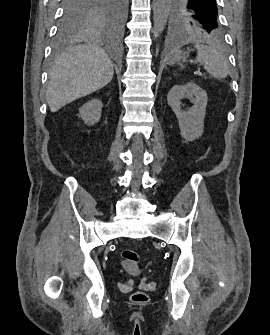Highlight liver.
<instances>
[{
  "mask_svg": "<svg viewBox=\"0 0 270 335\" xmlns=\"http://www.w3.org/2000/svg\"><path fill=\"white\" fill-rule=\"evenodd\" d=\"M113 74V64L101 46L79 44L69 48L57 56L50 72L46 100L51 112L104 88Z\"/></svg>",
  "mask_w": 270,
  "mask_h": 335,
  "instance_id": "1",
  "label": "liver"
}]
</instances>
